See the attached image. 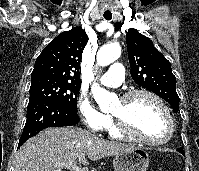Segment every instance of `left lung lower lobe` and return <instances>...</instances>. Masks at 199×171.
<instances>
[{"mask_svg":"<svg viewBox=\"0 0 199 171\" xmlns=\"http://www.w3.org/2000/svg\"><path fill=\"white\" fill-rule=\"evenodd\" d=\"M178 151H180L184 155V151L182 148H179Z\"/></svg>","mask_w":199,"mask_h":171,"instance_id":"left-lung-lower-lobe-1","label":"left lung lower lobe"}]
</instances>
